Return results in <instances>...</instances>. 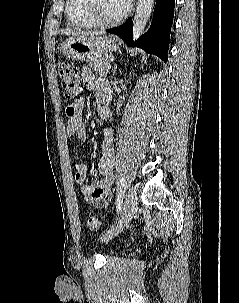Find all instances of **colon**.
Instances as JSON below:
<instances>
[{
	"label": "colon",
	"instance_id": "obj_1",
	"mask_svg": "<svg viewBox=\"0 0 239 303\" xmlns=\"http://www.w3.org/2000/svg\"><path fill=\"white\" fill-rule=\"evenodd\" d=\"M61 86L68 99H74L80 92V76L76 68L69 63H62L59 67ZM87 228L92 232L101 230L100 220L93 215H88L85 219Z\"/></svg>",
	"mask_w": 239,
	"mask_h": 303
}]
</instances>
